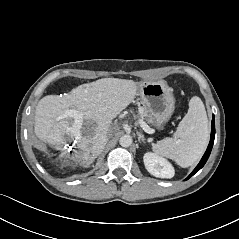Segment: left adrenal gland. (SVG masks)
I'll use <instances>...</instances> for the list:
<instances>
[{
    "label": "left adrenal gland",
    "instance_id": "a2214340",
    "mask_svg": "<svg viewBox=\"0 0 239 239\" xmlns=\"http://www.w3.org/2000/svg\"><path fill=\"white\" fill-rule=\"evenodd\" d=\"M137 136H138V141L139 142H143L145 143V138H144V135L142 133H140L139 131H137Z\"/></svg>",
    "mask_w": 239,
    "mask_h": 239
}]
</instances>
